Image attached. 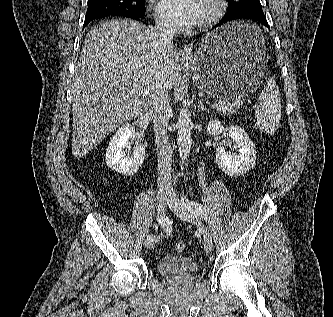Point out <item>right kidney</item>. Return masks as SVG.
Instances as JSON below:
<instances>
[{
    "mask_svg": "<svg viewBox=\"0 0 333 317\" xmlns=\"http://www.w3.org/2000/svg\"><path fill=\"white\" fill-rule=\"evenodd\" d=\"M135 128L126 124L120 127L111 138L106 151L107 166L125 176L135 174L141 167L146 147L144 144L136 143L132 155H126L124 149L134 141Z\"/></svg>",
    "mask_w": 333,
    "mask_h": 317,
    "instance_id": "1",
    "label": "right kidney"
}]
</instances>
